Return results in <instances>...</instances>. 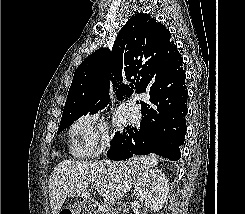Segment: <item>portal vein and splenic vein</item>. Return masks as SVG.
I'll return each instance as SVG.
<instances>
[{"label": "portal vein and splenic vein", "instance_id": "1", "mask_svg": "<svg viewBox=\"0 0 245 214\" xmlns=\"http://www.w3.org/2000/svg\"><path fill=\"white\" fill-rule=\"evenodd\" d=\"M90 191H91V189H90ZM92 192H93V189H92ZM113 202H114V198L113 197L108 196V197L105 198L106 205H111Z\"/></svg>", "mask_w": 245, "mask_h": 214}]
</instances>
